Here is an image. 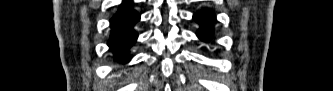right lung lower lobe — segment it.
Masks as SVG:
<instances>
[{"mask_svg": "<svg viewBox=\"0 0 333 91\" xmlns=\"http://www.w3.org/2000/svg\"><path fill=\"white\" fill-rule=\"evenodd\" d=\"M140 20V15L132 9V1L125 0L117 13L110 20L111 35L108 41L110 50L119 62L130 61L128 49L137 39L133 26Z\"/></svg>", "mask_w": 333, "mask_h": 91, "instance_id": "1", "label": "right lung lower lobe"}]
</instances>
